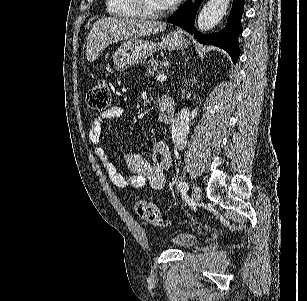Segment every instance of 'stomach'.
<instances>
[{
	"label": "stomach",
	"instance_id": "stomach-1",
	"mask_svg": "<svg viewBox=\"0 0 307 301\" xmlns=\"http://www.w3.org/2000/svg\"><path fill=\"white\" fill-rule=\"evenodd\" d=\"M190 40L184 38L183 34L173 30L159 42L154 40H144V38H132V40H125L121 46H118L113 54V66L122 72L133 64L144 62L149 56H153L156 50H180V48H187Z\"/></svg>",
	"mask_w": 307,
	"mask_h": 301
}]
</instances>
